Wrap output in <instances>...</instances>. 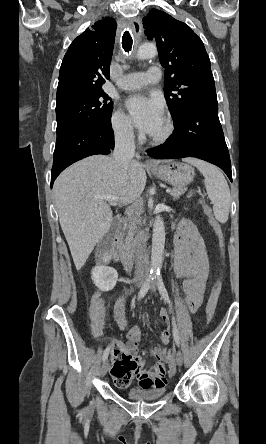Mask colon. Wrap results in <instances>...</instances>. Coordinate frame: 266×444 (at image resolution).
I'll use <instances>...</instances> for the list:
<instances>
[{
    "mask_svg": "<svg viewBox=\"0 0 266 444\" xmlns=\"http://www.w3.org/2000/svg\"><path fill=\"white\" fill-rule=\"evenodd\" d=\"M205 212L208 216L209 222L216 234L217 237V243H218V247L220 250V254L221 256H223V252H224V236H223V232L221 229L220 224L217 222V220L214 218L212 211L210 208L205 207ZM221 284H222V278L221 275H219V277L216 279L214 286L212 288L209 300H208V304H207V309H206V315H205V322L206 324H209L210 321L212 320L213 316H214V312L217 306V302H218V298L220 295V291H221ZM167 358L170 364H172L173 358H174V353L172 351H169L167 354ZM172 368V367H171Z\"/></svg>",
    "mask_w": 266,
    "mask_h": 444,
    "instance_id": "1",
    "label": "colon"
}]
</instances>
